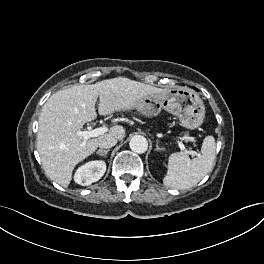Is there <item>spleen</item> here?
I'll list each match as a JSON object with an SVG mask.
<instances>
[{
    "label": "spleen",
    "instance_id": "1",
    "mask_svg": "<svg viewBox=\"0 0 264 264\" xmlns=\"http://www.w3.org/2000/svg\"><path fill=\"white\" fill-rule=\"evenodd\" d=\"M216 144L213 136L205 137L201 154L193 159L182 152L169 157L167 174L163 178L166 187L188 189L203 179L214 166Z\"/></svg>",
    "mask_w": 264,
    "mask_h": 264
}]
</instances>
